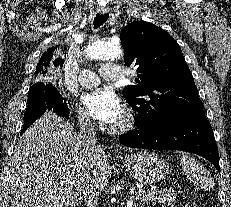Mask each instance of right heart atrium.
Segmentation results:
<instances>
[{"label":"right heart atrium","instance_id":"d8ad5b80","mask_svg":"<svg viewBox=\"0 0 231 207\" xmlns=\"http://www.w3.org/2000/svg\"><path fill=\"white\" fill-rule=\"evenodd\" d=\"M77 116L80 122V125L84 128H92L93 127V123L91 121V119L89 118V116L81 109L77 110Z\"/></svg>","mask_w":231,"mask_h":207}]
</instances>
